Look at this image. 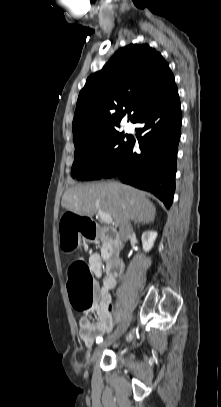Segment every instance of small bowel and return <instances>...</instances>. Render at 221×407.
<instances>
[{"label":"small bowel","instance_id":"obj_1","mask_svg":"<svg viewBox=\"0 0 221 407\" xmlns=\"http://www.w3.org/2000/svg\"><path fill=\"white\" fill-rule=\"evenodd\" d=\"M89 268L95 278L102 276V259L100 254L94 253L89 258ZM117 286L116 277L107 275L94 293L90 312L96 314L97 321H91L87 316L79 319V336L87 347H92L98 337L110 333L113 329L114 306L111 291Z\"/></svg>","mask_w":221,"mask_h":407}]
</instances>
